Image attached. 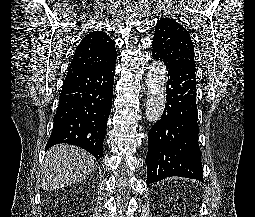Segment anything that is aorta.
I'll use <instances>...</instances> for the list:
<instances>
[{"instance_id": "762f6f07", "label": "aorta", "mask_w": 255, "mask_h": 217, "mask_svg": "<svg viewBox=\"0 0 255 217\" xmlns=\"http://www.w3.org/2000/svg\"><path fill=\"white\" fill-rule=\"evenodd\" d=\"M166 66L159 61L151 64L147 74L148 98L145 115L149 122L160 119L165 106Z\"/></svg>"}]
</instances>
